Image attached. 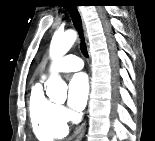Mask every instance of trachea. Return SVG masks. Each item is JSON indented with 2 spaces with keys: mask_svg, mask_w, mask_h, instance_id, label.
Returning a JSON list of instances; mask_svg holds the SVG:
<instances>
[{
  "mask_svg": "<svg viewBox=\"0 0 155 141\" xmlns=\"http://www.w3.org/2000/svg\"><path fill=\"white\" fill-rule=\"evenodd\" d=\"M64 8L70 14L74 26L77 28V30L79 31L80 37L82 38L83 37V35H82V22H81V17H80V14H79L77 8L73 5H66V6H64ZM80 49H81L82 54L85 57H88L87 47H86L85 41L83 39H82V42L80 45Z\"/></svg>",
  "mask_w": 155,
  "mask_h": 141,
  "instance_id": "trachea-1",
  "label": "trachea"
}]
</instances>
